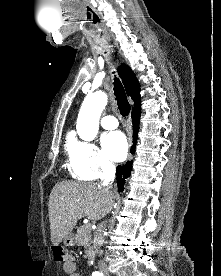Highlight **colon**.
Listing matches in <instances>:
<instances>
[{
  "instance_id": "colon-1",
  "label": "colon",
  "mask_w": 221,
  "mask_h": 276,
  "mask_svg": "<svg viewBox=\"0 0 221 276\" xmlns=\"http://www.w3.org/2000/svg\"><path fill=\"white\" fill-rule=\"evenodd\" d=\"M66 249V245H55L54 248H52L54 260L64 262L67 259Z\"/></svg>"
}]
</instances>
